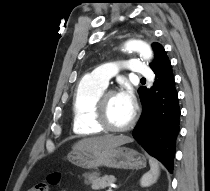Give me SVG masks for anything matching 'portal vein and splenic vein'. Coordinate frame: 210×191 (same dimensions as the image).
<instances>
[{"instance_id":"obj_1","label":"portal vein and splenic vein","mask_w":210,"mask_h":191,"mask_svg":"<svg viewBox=\"0 0 210 191\" xmlns=\"http://www.w3.org/2000/svg\"><path fill=\"white\" fill-rule=\"evenodd\" d=\"M112 187H113V185L111 184L107 191H113Z\"/></svg>"}]
</instances>
